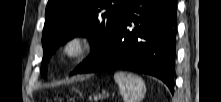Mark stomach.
<instances>
[{
	"mask_svg": "<svg viewBox=\"0 0 221 102\" xmlns=\"http://www.w3.org/2000/svg\"><path fill=\"white\" fill-rule=\"evenodd\" d=\"M106 96H107L106 91H102L101 94H97V95H95V96H94V99H95V100L103 99V98H105Z\"/></svg>",
	"mask_w": 221,
	"mask_h": 102,
	"instance_id": "1",
	"label": "stomach"
}]
</instances>
